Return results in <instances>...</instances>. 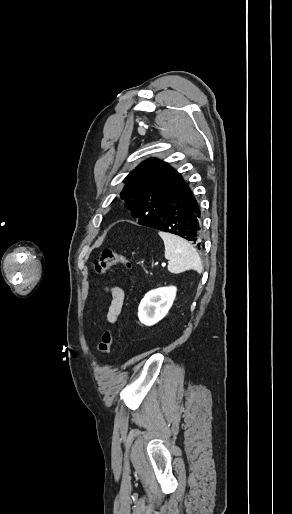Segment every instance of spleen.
Masks as SVG:
<instances>
[{
    "label": "spleen",
    "mask_w": 292,
    "mask_h": 514,
    "mask_svg": "<svg viewBox=\"0 0 292 514\" xmlns=\"http://www.w3.org/2000/svg\"><path fill=\"white\" fill-rule=\"evenodd\" d=\"M165 246V258L169 260L168 270L171 274H181L186 270H196L198 274L202 272V262L195 248L174 234L159 232Z\"/></svg>",
    "instance_id": "obj_1"
}]
</instances>
